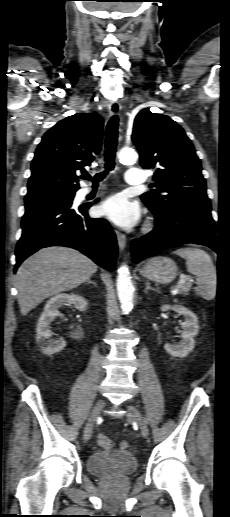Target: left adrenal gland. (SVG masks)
I'll return each instance as SVG.
<instances>
[{
	"mask_svg": "<svg viewBox=\"0 0 230 517\" xmlns=\"http://www.w3.org/2000/svg\"><path fill=\"white\" fill-rule=\"evenodd\" d=\"M145 285H146V288L144 290L145 293H147L149 290H155L154 288H152L150 286V283L148 281H146Z\"/></svg>",
	"mask_w": 230,
	"mask_h": 517,
	"instance_id": "a2214340",
	"label": "left adrenal gland"
}]
</instances>
